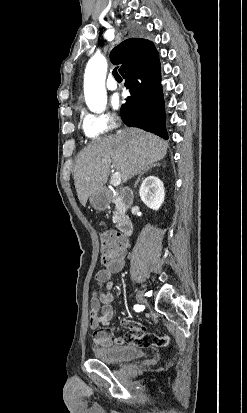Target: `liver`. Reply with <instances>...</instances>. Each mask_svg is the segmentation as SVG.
Returning a JSON list of instances; mask_svg holds the SVG:
<instances>
[{
  "label": "liver",
  "mask_w": 247,
  "mask_h": 413,
  "mask_svg": "<svg viewBox=\"0 0 247 413\" xmlns=\"http://www.w3.org/2000/svg\"><path fill=\"white\" fill-rule=\"evenodd\" d=\"M168 142L141 128H122L116 134L101 136L77 154L73 170L77 196L85 207L88 196L101 190L108 180L110 164L123 182L139 174L148 164L164 158Z\"/></svg>",
  "instance_id": "liver-1"
}]
</instances>
